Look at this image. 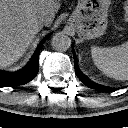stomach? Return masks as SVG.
I'll return each instance as SVG.
<instances>
[{
    "instance_id": "obj_1",
    "label": "stomach",
    "mask_w": 128,
    "mask_h": 128,
    "mask_svg": "<svg viewBox=\"0 0 128 128\" xmlns=\"http://www.w3.org/2000/svg\"><path fill=\"white\" fill-rule=\"evenodd\" d=\"M111 0H78L68 23L82 39H94L103 35L108 24V8Z\"/></svg>"
}]
</instances>
